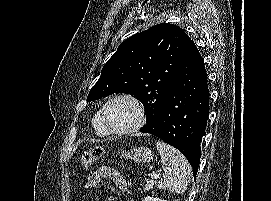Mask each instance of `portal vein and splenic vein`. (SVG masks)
Here are the masks:
<instances>
[{"label": "portal vein and splenic vein", "mask_w": 271, "mask_h": 201, "mask_svg": "<svg viewBox=\"0 0 271 201\" xmlns=\"http://www.w3.org/2000/svg\"><path fill=\"white\" fill-rule=\"evenodd\" d=\"M151 178H152V179H157V178H158V175H157V174H152Z\"/></svg>", "instance_id": "portal-vein-and-splenic-vein-1"}]
</instances>
